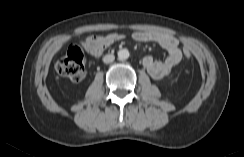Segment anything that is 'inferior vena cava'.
Wrapping results in <instances>:
<instances>
[{"mask_svg": "<svg viewBox=\"0 0 244 157\" xmlns=\"http://www.w3.org/2000/svg\"><path fill=\"white\" fill-rule=\"evenodd\" d=\"M115 60V56L113 54H107L103 57V62L108 64L112 63Z\"/></svg>", "mask_w": 244, "mask_h": 157, "instance_id": "602c4592", "label": "inferior vena cava"}]
</instances>
